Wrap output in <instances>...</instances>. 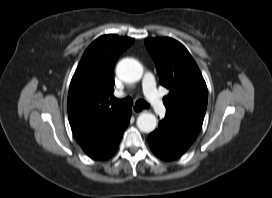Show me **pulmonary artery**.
<instances>
[{
	"mask_svg": "<svg viewBox=\"0 0 272 198\" xmlns=\"http://www.w3.org/2000/svg\"><path fill=\"white\" fill-rule=\"evenodd\" d=\"M143 92L150 106L155 110V112L161 116H164L166 108L158 94L154 77L150 73H146L143 78ZM114 95L117 98H122L125 96V93L116 92Z\"/></svg>",
	"mask_w": 272,
	"mask_h": 198,
	"instance_id": "e3ab8cb5",
	"label": "pulmonary artery"
}]
</instances>
